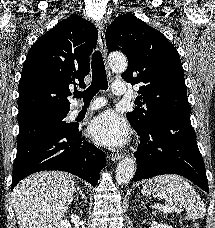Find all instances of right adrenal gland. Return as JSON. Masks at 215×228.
Instances as JSON below:
<instances>
[{
	"mask_svg": "<svg viewBox=\"0 0 215 228\" xmlns=\"http://www.w3.org/2000/svg\"><path fill=\"white\" fill-rule=\"evenodd\" d=\"M75 192H76V196L78 194V196H81L82 200L84 198L85 204H86V202H87V196H85L84 192H82V190H81V188H79V186H76Z\"/></svg>",
	"mask_w": 215,
	"mask_h": 228,
	"instance_id": "right-adrenal-gland-1",
	"label": "right adrenal gland"
}]
</instances>
